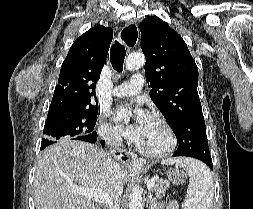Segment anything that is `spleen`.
Returning <instances> with one entry per match:
<instances>
[{"mask_svg": "<svg viewBox=\"0 0 253 209\" xmlns=\"http://www.w3.org/2000/svg\"><path fill=\"white\" fill-rule=\"evenodd\" d=\"M162 164L183 168L189 175L187 196L182 209H212L213 179L206 165L191 158H169L162 161Z\"/></svg>", "mask_w": 253, "mask_h": 209, "instance_id": "obj_1", "label": "spleen"}]
</instances>
